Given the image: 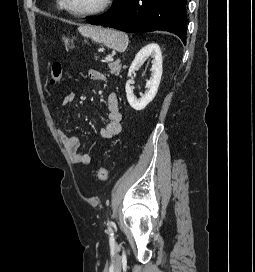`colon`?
Instances as JSON below:
<instances>
[{"label": "colon", "mask_w": 255, "mask_h": 272, "mask_svg": "<svg viewBox=\"0 0 255 272\" xmlns=\"http://www.w3.org/2000/svg\"><path fill=\"white\" fill-rule=\"evenodd\" d=\"M49 81L52 85L61 84L63 81L62 65L58 62L53 63L50 69ZM108 169L106 167H100L97 170V178L100 181H106L108 178Z\"/></svg>", "instance_id": "5ec220e1"}]
</instances>
